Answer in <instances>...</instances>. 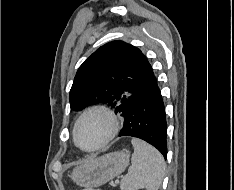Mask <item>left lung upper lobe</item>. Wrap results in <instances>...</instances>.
Segmentation results:
<instances>
[{
  "label": "left lung upper lobe",
  "mask_w": 234,
  "mask_h": 190,
  "mask_svg": "<svg viewBox=\"0 0 234 190\" xmlns=\"http://www.w3.org/2000/svg\"><path fill=\"white\" fill-rule=\"evenodd\" d=\"M149 76L150 64L138 48L123 41L109 42L79 67L70 90L71 109L104 103L124 117Z\"/></svg>",
  "instance_id": "left-lung-upper-lobe-1"
}]
</instances>
